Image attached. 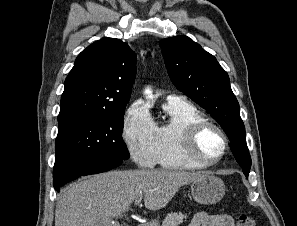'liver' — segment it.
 I'll use <instances>...</instances> for the list:
<instances>
[{
	"label": "liver",
	"instance_id": "6515ba94",
	"mask_svg": "<svg viewBox=\"0 0 297 226\" xmlns=\"http://www.w3.org/2000/svg\"><path fill=\"white\" fill-rule=\"evenodd\" d=\"M206 176L203 172L170 170L110 171L82 178L60 194L55 226H120L114 218L144 196L149 210L164 208L183 185Z\"/></svg>",
	"mask_w": 297,
	"mask_h": 226
}]
</instances>
